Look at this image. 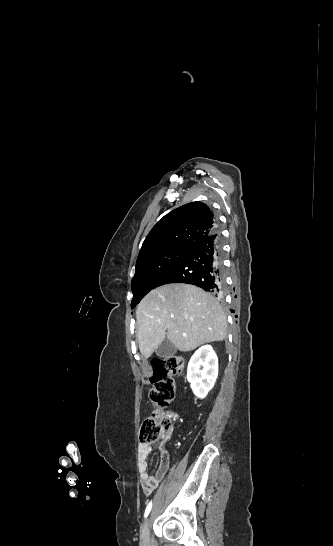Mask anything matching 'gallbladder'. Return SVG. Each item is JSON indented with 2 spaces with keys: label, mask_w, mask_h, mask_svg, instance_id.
<instances>
[{
  "label": "gallbladder",
  "mask_w": 333,
  "mask_h": 546,
  "mask_svg": "<svg viewBox=\"0 0 333 546\" xmlns=\"http://www.w3.org/2000/svg\"><path fill=\"white\" fill-rule=\"evenodd\" d=\"M177 349L175 345L165 340L156 350V355L159 358H169L176 353Z\"/></svg>",
  "instance_id": "gallbladder-1"
}]
</instances>
